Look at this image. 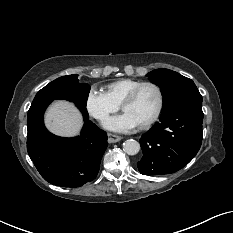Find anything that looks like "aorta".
Segmentation results:
<instances>
[{"label":"aorta","mask_w":233,"mask_h":233,"mask_svg":"<svg viewBox=\"0 0 233 233\" xmlns=\"http://www.w3.org/2000/svg\"><path fill=\"white\" fill-rule=\"evenodd\" d=\"M140 150V144L134 139H128L123 143V151L128 155H136Z\"/></svg>","instance_id":"obj_1"}]
</instances>
